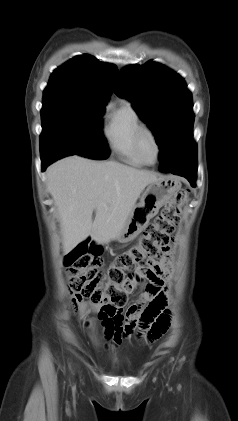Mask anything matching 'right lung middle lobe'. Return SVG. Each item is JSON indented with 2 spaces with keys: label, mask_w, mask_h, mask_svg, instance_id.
Here are the masks:
<instances>
[{
  "label": "right lung middle lobe",
  "mask_w": 238,
  "mask_h": 421,
  "mask_svg": "<svg viewBox=\"0 0 238 421\" xmlns=\"http://www.w3.org/2000/svg\"><path fill=\"white\" fill-rule=\"evenodd\" d=\"M106 101L81 95L44 92L41 109L40 152L68 149L92 159L110 155L102 134Z\"/></svg>",
  "instance_id": "1"
}]
</instances>
